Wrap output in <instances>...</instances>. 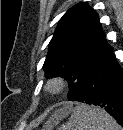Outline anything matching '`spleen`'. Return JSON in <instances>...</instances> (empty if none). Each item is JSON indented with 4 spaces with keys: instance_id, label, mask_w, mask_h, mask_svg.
<instances>
[{
    "instance_id": "obj_1",
    "label": "spleen",
    "mask_w": 123,
    "mask_h": 130,
    "mask_svg": "<svg viewBox=\"0 0 123 130\" xmlns=\"http://www.w3.org/2000/svg\"><path fill=\"white\" fill-rule=\"evenodd\" d=\"M59 130H120V126L105 110L77 104L69 120Z\"/></svg>"
}]
</instances>
